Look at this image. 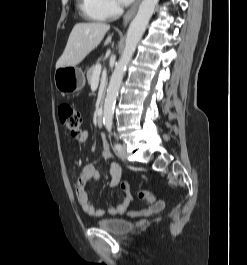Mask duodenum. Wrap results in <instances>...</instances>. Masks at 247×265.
<instances>
[{"label": "duodenum", "mask_w": 247, "mask_h": 265, "mask_svg": "<svg viewBox=\"0 0 247 265\" xmlns=\"http://www.w3.org/2000/svg\"><path fill=\"white\" fill-rule=\"evenodd\" d=\"M103 119H104V115H103V113L101 112V113H99L98 116H97V124H98L99 126H103Z\"/></svg>", "instance_id": "obj_1"}]
</instances>
